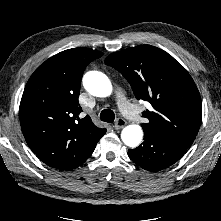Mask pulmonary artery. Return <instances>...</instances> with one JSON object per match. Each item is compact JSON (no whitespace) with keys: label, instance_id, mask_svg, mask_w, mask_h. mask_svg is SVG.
<instances>
[{"label":"pulmonary artery","instance_id":"e3ab8cb5","mask_svg":"<svg viewBox=\"0 0 221 221\" xmlns=\"http://www.w3.org/2000/svg\"><path fill=\"white\" fill-rule=\"evenodd\" d=\"M118 105L124 115L138 121L140 119L138 111L131 105L121 92H117Z\"/></svg>","mask_w":221,"mask_h":221}]
</instances>
